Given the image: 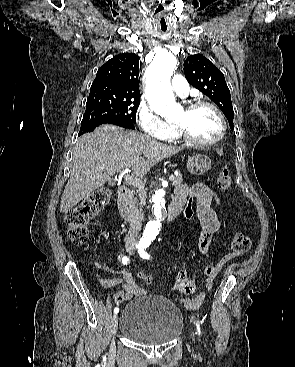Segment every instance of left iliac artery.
<instances>
[{"label": "left iliac artery", "mask_w": 295, "mask_h": 367, "mask_svg": "<svg viewBox=\"0 0 295 367\" xmlns=\"http://www.w3.org/2000/svg\"><path fill=\"white\" fill-rule=\"evenodd\" d=\"M139 255L143 258V259H147L149 260L151 258L150 254H148L146 252V247H139ZM196 323V327H197V331H198V334L201 335V330H200V326L198 324V322H195Z\"/></svg>", "instance_id": "44dca946"}]
</instances>
